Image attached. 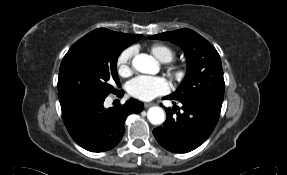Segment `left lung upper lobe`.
<instances>
[{
	"mask_svg": "<svg viewBox=\"0 0 287 175\" xmlns=\"http://www.w3.org/2000/svg\"><path fill=\"white\" fill-rule=\"evenodd\" d=\"M150 38L169 40L185 51L187 74L180 87L170 96L175 100L207 104L220 113L225 83L221 59L214 46L190 29L161 33Z\"/></svg>",
	"mask_w": 287,
	"mask_h": 175,
	"instance_id": "left-lung-upper-lobe-1",
	"label": "left lung upper lobe"
}]
</instances>
